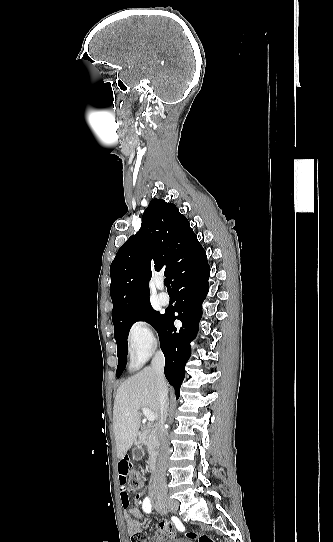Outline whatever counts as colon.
<instances>
[{
    "mask_svg": "<svg viewBox=\"0 0 333 542\" xmlns=\"http://www.w3.org/2000/svg\"><path fill=\"white\" fill-rule=\"evenodd\" d=\"M132 468V467H131ZM128 485L132 489H141L144 487L145 478L134 468H132L131 477H127ZM165 527L162 525V528ZM187 537L198 542H215V539L208 534L198 535L195 531H190ZM131 542H148V536L144 531H133Z\"/></svg>",
    "mask_w": 333,
    "mask_h": 542,
    "instance_id": "1",
    "label": "colon"
}]
</instances>
